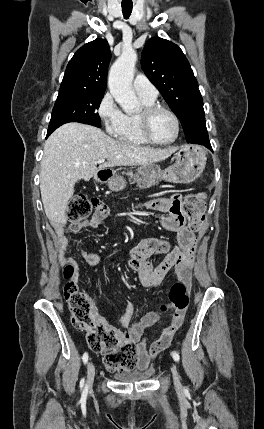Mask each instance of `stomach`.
I'll use <instances>...</instances> for the list:
<instances>
[{
	"label": "stomach",
	"mask_w": 264,
	"mask_h": 429,
	"mask_svg": "<svg viewBox=\"0 0 264 429\" xmlns=\"http://www.w3.org/2000/svg\"><path fill=\"white\" fill-rule=\"evenodd\" d=\"M206 159V153L200 146L183 145L175 154V163L172 166L161 170L156 164L142 165L138 167L137 175L148 179H165L169 182L189 184L201 175ZM95 179L108 184L114 191H120L126 186V181L111 169L98 170Z\"/></svg>",
	"instance_id": "stomach-1"
}]
</instances>
